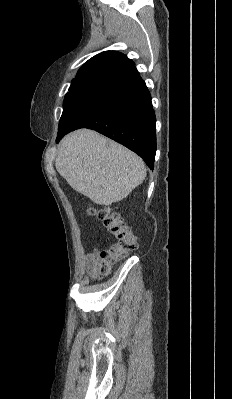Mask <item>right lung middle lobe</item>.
<instances>
[{
    "mask_svg": "<svg viewBox=\"0 0 232 399\" xmlns=\"http://www.w3.org/2000/svg\"><path fill=\"white\" fill-rule=\"evenodd\" d=\"M98 83H99V81L92 80V79L72 80L71 86L69 88V92L66 94V96L64 98L63 105H65L68 101L77 98L84 91L95 86Z\"/></svg>",
    "mask_w": 232,
    "mask_h": 399,
    "instance_id": "obj_1",
    "label": "right lung middle lobe"
}]
</instances>
